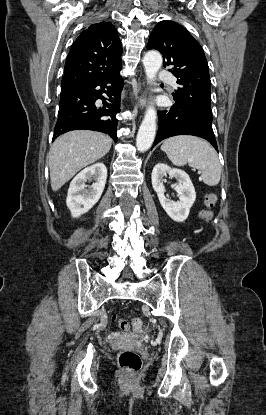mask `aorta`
<instances>
[{
    "mask_svg": "<svg viewBox=\"0 0 266 415\" xmlns=\"http://www.w3.org/2000/svg\"><path fill=\"white\" fill-rule=\"evenodd\" d=\"M146 77L153 81L162 66V56L157 51H149L143 58ZM157 112L153 105L148 106L136 138V147L140 152L147 151L155 139Z\"/></svg>",
    "mask_w": 266,
    "mask_h": 415,
    "instance_id": "aorta-1",
    "label": "aorta"
}]
</instances>
